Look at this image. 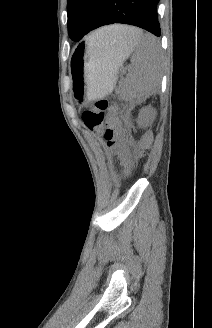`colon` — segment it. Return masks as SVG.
Here are the masks:
<instances>
[{
	"label": "colon",
	"instance_id": "obj_1",
	"mask_svg": "<svg viewBox=\"0 0 212 328\" xmlns=\"http://www.w3.org/2000/svg\"><path fill=\"white\" fill-rule=\"evenodd\" d=\"M108 110L107 100H96L83 112V122L87 129L101 136L113 152L123 155L122 143L126 137V131Z\"/></svg>",
	"mask_w": 212,
	"mask_h": 328
}]
</instances>
